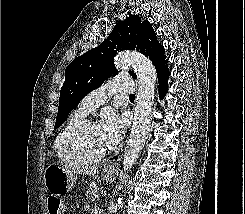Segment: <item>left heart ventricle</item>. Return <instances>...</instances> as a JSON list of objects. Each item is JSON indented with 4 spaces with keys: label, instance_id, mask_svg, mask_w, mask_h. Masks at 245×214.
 Here are the masks:
<instances>
[{
    "label": "left heart ventricle",
    "instance_id": "1",
    "mask_svg": "<svg viewBox=\"0 0 245 214\" xmlns=\"http://www.w3.org/2000/svg\"><path fill=\"white\" fill-rule=\"evenodd\" d=\"M79 144L84 153L95 156L108 150L98 126L87 127L80 136Z\"/></svg>",
    "mask_w": 245,
    "mask_h": 214
}]
</instances>
